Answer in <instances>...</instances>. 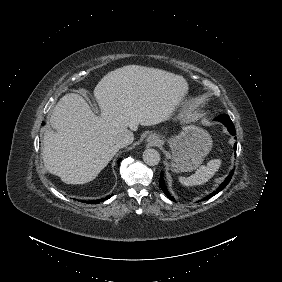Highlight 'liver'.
Listing matches in <instances>:
<instances>
[{"mask_svg": "<svg viewBox=\"0 0 282 282\" xmlns=\"http://www.w3.org/2000/svg\"><path fill=\"white\" fill-rule=\"evenodd\" d=\"M93 93L101 116L81 95L69 93L53 109L55 132L44 133V166L67 184L94 180L118 152L113 141L118 133L169 120L188 93V83L161 69L128 65L107 73Z\"/></svg>", "mask_w": 282, "mask_h": 282, "instance_id": "6515ba94", "label": "liver"}]
</instances>
